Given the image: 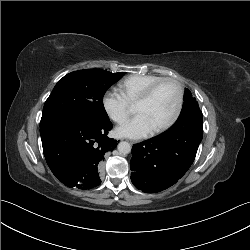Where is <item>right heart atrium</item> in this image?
Returning <instances> with one entry per match:
<instances>
[{"label": "right heart atrium", "instance_id": "d8ad5b80", "mask_svg": "<svg viewBox=\"0 0 250 250\" xmlns=\"http://www.w3.org/2000/svg\"><path fill=\"white\" fill-rule=\"evenodd\" d=\"M102 106L108 117L116 123L124 122L129 116L130 104L117 90H107L104 93Z\"/></svg>", "mask_w": 250, "mask_h": 250}]
</instances>
